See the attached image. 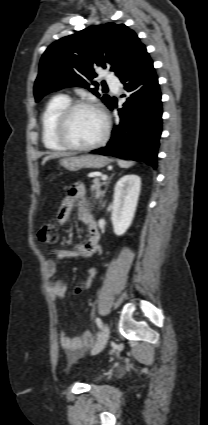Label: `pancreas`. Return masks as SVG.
I'll return each mask as SVG.
<instances>
[{"mask_svg":"<svg viewBox=\"0 0 208 425\" xmlns=\"http://www.w3.org/2000/svg\"><path fill=\"white\" fill-rule=\"evenodd\" d=\"M106 183L104 182H100V180L98 178H95L93 180V184L91 185V192H92V196L94 199H98L100 198V196H102V191H101V187L102 185H104Z\"/></svg>","mask_w":208,"mask_h":425,"instance_id":"obj_1","label":"pancreas"}]
</instances>
